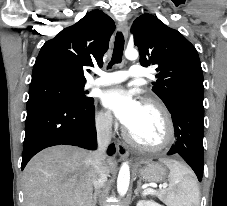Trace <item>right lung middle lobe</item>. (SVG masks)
Returning a JSON list of instances; mask_svg holds the SVG:
<instances>
[{"instance_id": "right-lung-middle-lobe-1", "label": "right lung middle lobe", "mask_w": 227, "mask_h": 206, "mask_svg": "<svg viewBox=\"0 0 227 206\" xmlns=\"http://www.w3.org/2000/svg\"><path fill=\"white\" fill-rule=\"evenodd\" d=\"M85 84H76L58 79H45L33 82L29 87L27 108L39 103H59L84 105L93 98L86 97Z\"/></svg>"}]
</instances>
